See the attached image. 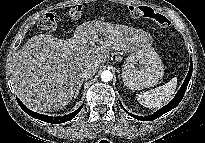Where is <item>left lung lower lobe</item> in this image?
<instances>
[{
  "mask_svg": "<svg viewBox=\"0 0 205 143\" xmlns=\"http://www.w3.org/2000/svg\"><path fill=\"white\" fill-rule=\"evenodd\" d=\"M191 75H192V60H191L188 75H187L183 85L179 89L178 93L176 94V96L173 98V100L169 104H167L166 106H164L163 108H161L160 110L155 112L153 115H150V116H147V117H139V116L128 113L126 110L125 111L128 114H130L132 117H134L136 119H139V120H143V121H151V120H154V119L160 117L161 115H163V114L167 113L168 111L174 109L181 102V100L184 96V93L187 89V86H188L189 80L191 78ZM120 105L122 106L121 103H120Z\"/></svg>",
  "mask_w": 205,
  "mask_h": 143,
  "instance_id": "1",
  "label": "left lung lower lobe"
}]
</instances>
